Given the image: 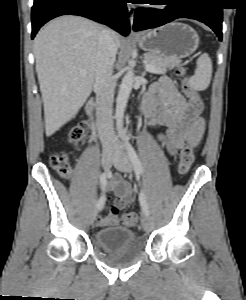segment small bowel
<instances>
[{
	"instance_id": "obj_1",
	"label": "small bowel",
	"mask_w": 246,
	"mask_h": 300,
	"mask_svg": "<svg viewBox=\"0 0 246 300\" xmlns=\"http://www.w3.org/2000/svg\"><path fill=\"white\" fill-rule=\"evenodd\" d=\"M144 104L150 123L164 129L159 135V141L170 155L177 154L189 135L196 139L203 136L205 123L198 117L202 109L201 104L188 103L169 78H160L146 95ZM107 190L114 192L115 204L119 208H124L131 200L132 191L129 184L118 175L111 179ZM102 196L105 203L106 196ZM96 216V225L99 227L112 226L118 222L117 216Z\"/></svg>"
}]
</instances>
